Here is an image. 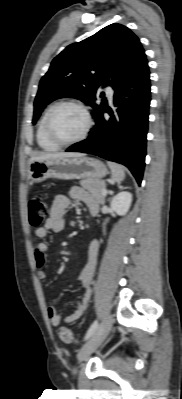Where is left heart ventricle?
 I'll return each mask as SVG.
<instances>
[{
  "instance_id": "left-heart-ventricle-1",
  "label": "left heart ventricle",
  "mask_w": 182,
  "mask_h": 399,
  "mask_svg": "<svg viewBox=\"0 0 182 399\" xmlns=\"http://www.w3.org/2000/svg\"><path fill=\"white\" fill-rule=\"evenodd\" d=\"M86 125L82 111L73 106L59 108L52 119L54 134L61 140H72L78 137Z\"/></svg>"
}]
</instances>
